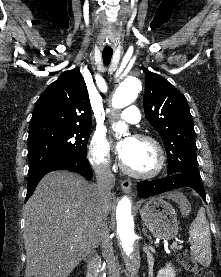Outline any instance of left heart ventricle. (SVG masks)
Segmentation results:
<instances>
[{
  "instance_id": "b2bd125f",
  "label": "left heart ventricle",
  "mask_w": 221,
  "mask_h": 277,
  "mask_svg": "<svg viewBox=\"0 0 221 277\" xmlns=\"http://www.w3.org/2000/svg\"><path fill=\"white\" fill-rule=\"evenodd\" d=\"M125 144L127 150L122 160L129 169L139 173L155 169L158 156L152 144L132 138L127 139Z\"/></svg>"
}]
</instances>
